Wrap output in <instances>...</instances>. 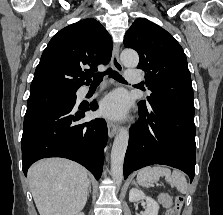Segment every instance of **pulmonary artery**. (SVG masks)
I'll list each match as a JSON object with an SVG mask.
<instances>
[{"label":"pulmonary artery","mask_w":223,"mask_h":215,"mask_svg":"<svg viewBox=\"0 0 223 215\" xmlns=\"http://www.w3.org/2000/svg\"><path fill=\"white\" fill-rule=\"evenodd\" d=\"M123 73L126 78H129V83L138 82L139 78H143V73H141L140 69H124Z\"/></svg>","instance_id":"pulmonary-artery-1"}]
</instances>
